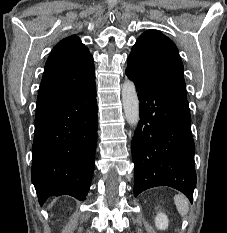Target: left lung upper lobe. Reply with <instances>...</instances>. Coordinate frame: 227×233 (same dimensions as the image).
<instances>
[{
  "label": "left lung upper lobe",
  "instance_id": "left-lung-upper-lobe-1",
  "mask_svg": "<svg viewBox=\"0 0 227 233\" xmlns=\"http://www.w3.org/2000/svg\"><path fill=\"white\" fill-rule=\"evenodd\" d=\"M126 72L150 85L186 98L183 63L176 45L161 32L140 35L128 57Z\"/></svg>",
  "mask_w": 227,
  "mask_h": 233
}]
</instances>
